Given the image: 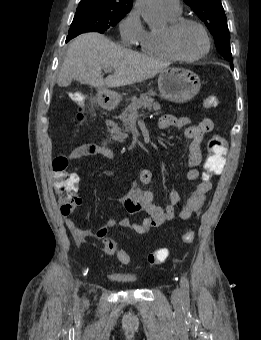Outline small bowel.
Returning a JSON list of instances; mask_svg holds the SVG:
<instances>
[{
  "instance_id": "1",
  "label": "small bowel",
  "mask_w": 261,
  "mask_h": 340,
  "mask_svg": "<svg viewBox=\"0 0 261 340\" xmlns=\"http://www.w3.org/2000/svg\"><path fill=\"white\" fill-rule=\"evenodd\" d=\"M191 123L192 119L188 117L176 118L172 115H164L159 120V128L167 129L172 126L178 128L187 126L184 135L191 142L189 145V156L184 167L187 169V180L194 181L202 177L198 169L202 162L200 144L204 136L213 130L214 123L209 117H202L198 119L195 124ZM89 156H103L108 159H114L115 153L108 142L86 143L72 150L68 159L72 161ZM75 176L79 181L78 176ZM152 177L153 174L149 169H142L139 173L140 182L146 185L151 183ZM211 188V181L202 178V181L197 185L193 193L186 199L181 207L178 213L179 218L182 220L190 219L192 215L202 207L205 196ZM118 201L124 205L127 212L134 214L144 211L147 216L140 222H134L129 218H123L120 220L116 218H109L106 223L95 232H90L77 227L71 218L66 217L65 225L72 233L78 245H83L90 236H93L98 240L104 239L108 231L114 227L132 229L138 234H144L151 228L159 227L163 223L175 218L176 208L181 203V196L179 192L172 190L169 194V203L164 207L158 206L154 203V195L152 191L142 190L133 183L128 191L122 195Z\"/></svg>"
}]
</instances>
